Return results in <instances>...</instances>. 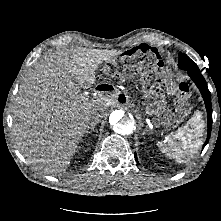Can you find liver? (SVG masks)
<instances>
[{
	"label": "liver",
	"mask_w": 221,
	"mask_h": 221,
	"mask_svg": "<svg viewBox=\"0 0 221 221\" xmlns=\"http://www.w3.org/2000/svg\"><path fill=\"white\" fill-rule=\"evenodd\" d=\"M120 50L72 48L45 55L29 70L13 110V135L20 152L46 172L65 170L90 129L92 116L114 102L81 89L93 86L96 70Z\"/></svg>",
	"instance_id": "6515ba94"
}]
</instances>
